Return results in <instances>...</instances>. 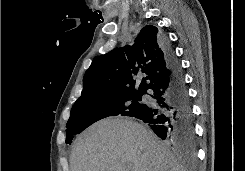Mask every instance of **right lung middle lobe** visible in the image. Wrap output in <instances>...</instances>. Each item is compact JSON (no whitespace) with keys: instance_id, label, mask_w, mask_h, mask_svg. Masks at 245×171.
Masks as SVG:
<instances>
[{"instance_id":"dd1d6c3e","label":"right lung middle lobe","mask_w":245,"mask_h":171,"mask_svg":"<svg viewBox=\"0 0 245 171\" xmlns=\"http://www.w3.org/2000/svg\"><path fill=\"white\" fill-rule=\"evenodd\" d=\"M141 97L142 94H122L75 102L67 122L66 143L70 144L74 135L100 119L116 115L132 117L142 105Z\"/></svg>"}]
</instances>
